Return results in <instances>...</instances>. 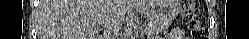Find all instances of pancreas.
I'll return each instance as SVG.
<instances>
[{"instance_id": "cf45deb5", "label": "pancreas", "mask_w": 249, "mask_h": 39, "mask_svg": "<svg viewBox=\"0 0 249 39\" xmlns=\"http://www.w3.org/2000/svg\"><path fill=\"white\" fill-rule=\"evenodd\" d=\"M169 25L170 24L167 21L153 18L149 20L146 30L149 32L151 36H154L168 29Z\"/></svg>"}]
</instances>
